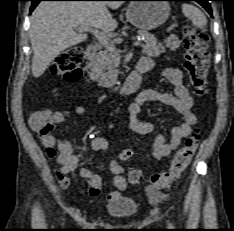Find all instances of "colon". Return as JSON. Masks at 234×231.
Here are the masks:
<instances>
[{
  "label": "colon",
  "mask_w": 234,
  "mask_h": 231,
  "mask_svg": "<svg viewBox=\"0 0 234 231\" xmlns=\"http://www.w3.org/2000/svg\"><path fill=\"white\" fill-rule=\"evenodd\" d=\"M183 45L185 53V68L189 74L192 87L197 95L202 96L207 91V74L209 70V52L207 50L208 36L193 27H186L183 31ZM83 52L80 47H70L64 50L55 61L52 72L61 75L67 81L75 82L81 77L80 64ZM200 143V135L192 133L175 153L169 168L161 173L149 177V193L157 196L162 189L170 187L185 171ZM134 151L126 148L120 153L122 161H130ZM131 184H140L144 180L140 169L132 168L128 173Z\"/></svg>",
  "instance_id": "colon-1"
}]
</instances>
